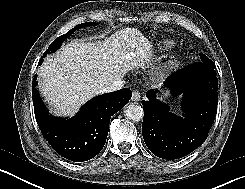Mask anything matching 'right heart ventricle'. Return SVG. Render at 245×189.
I'll return each instance as SVG.
<instances>
[{
  "label": "right heart ventricle",
  "instance_id": "obj_1",
  "mask_svg": "<svg viewBox=\"0 0 245 189\" xmlns=\"http://www.w3.org/2000/svg\"><path fill=\"white\" fill-rule=\"evenodd\" d=\"M165 46H166V47H169V46H170V44H165Z\"/></svg>",
  "mask_w": 245,
  "mask_h": 189
}]
</instances>
